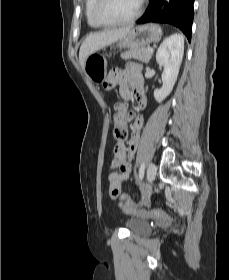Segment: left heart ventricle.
<instances>
[{"label":"left heart ventricle","mask_w":229,"mask_h":280,"mask_svg":"<svg viewBox=\"0 0 229 280\" xmlns=\"http://www.w3.org/2000/svg\"><path fill=\"white\" fill-rule=\"evenodd\" d=\"M139 0H106L101 15L106 20H121L130 17L138 8Z\"/></svg>","instance_id":"left-heart-ventricle-1"}]
</instances>
